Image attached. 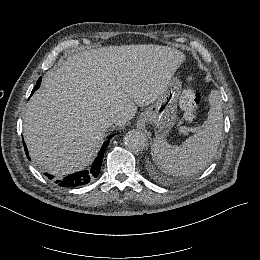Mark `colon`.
<instances>
[{"label": "colon", "instance_id": "5ec220e1", "mask_svg": "<svg viewBox=\"0 0 260 260\" xmlns=\"http://www.w3.org/2000/svg\"><path fill=\"white\" fill-rule=\"evenodd\" d=\"M200 102V94L193 87H188L181 92L179 103L183 110V118L187 126L194 125Z\"/></svg>", "mask_w": 260, "mask_h": 260}]
</instances>
